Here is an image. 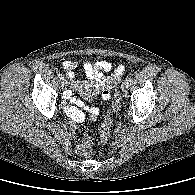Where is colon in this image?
<instances>
[{
  "mask_svg": "<svg viewBox=\"0 0 195 195\" xmlns=\"http://www.w3.org/2000/svg\"><path fill=\"white\" fill-rule=\"evenodd\" d=\"M120 94L119 92L114 93V99L110 108L108 115L104 118L101 132H100V141L107 142L110 136L111 131V113L115 112L120 106ZM73 135L76 141L80 142L81 144L77 147V152L83 156H89L92 154V143L88 138L87 131L84 127L79 125H73Z\"/></svg>",
  "mask_w": 195,
  "mask_h": 195,
  "instance_id": "1",
  "label": "colon"
}]
</instances>
